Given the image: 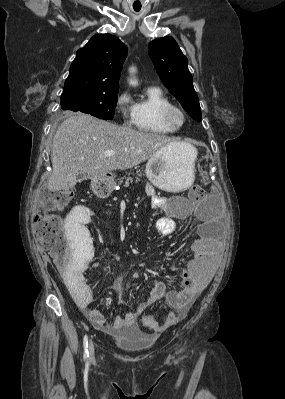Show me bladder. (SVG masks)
<instances>
[{"mask_svg":"<svg viewBox=\"0 0 285 399\" xmlns=\"http://www.w3.org/2000/svg\"><path fill=\"white\" fill-rule=\"evenodd\" d=\"M114 341L128 352L146 351L151 344V339L143 333H138L135 337L115 338Z\"/></svg>","mask_w":285,"mask_h":399,"instance_id":"bladder-1","label":"bladder"}]
</instances>
